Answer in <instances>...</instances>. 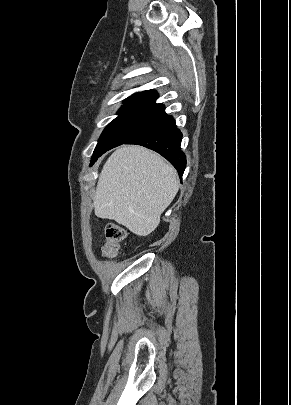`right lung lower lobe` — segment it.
I'll list each match as a JSON object with an SVG mask.
<instances>
[{
	"mask_svg": "<svg viewBox=\"0 0 291 405\" xmlns=\"http://www.w3.org/2000/svg\"><path fill=\"white\" fill-rule=\"evenodd\" d=\"M182 133L171 116H165L124 144H137L152 149L165 157L178 171L180 178L186 168V156L181 151Z\"/></svg>",
	"mask_w": 291,
	"mask_h": 405,
	"instance_id": "98d812e1",
	"label": "right lung lower lobe"
}]
</instances>
